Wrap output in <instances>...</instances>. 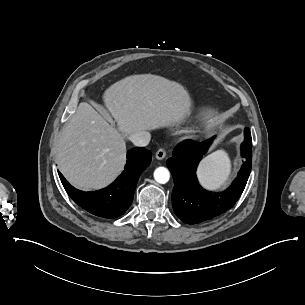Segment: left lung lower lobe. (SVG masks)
Returning <instances> with one entry per match:
<instances>
[{
	"instance_id": "obj_1",
	"label": "left lung lower lobe",
	"mask_w": 305,
	"mask_h": 305,
	"mask_svg": "<svg viewBox=\"0 0 305 305\" xmlns=\"http://www.w3.org/2000/svg\"><path fill=\"white\" fill-rule=\"evenodd\" d=\"M212 139L204 142L188 141L178 145L167 166L173 175L172 206L177 217L189 225L199 224L218 216L234 206L242 194L252 167V138L249 128L244 129L241 155L245 162L237 178L225 191L208 192L201 188L196 168Z\"/></svg>"
}]
</instances>
